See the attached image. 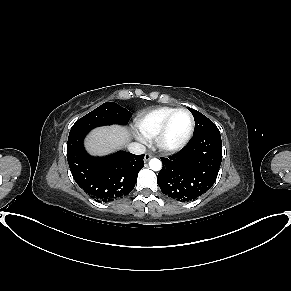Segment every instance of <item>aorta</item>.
I'll list each match as a JSON object with an SVG mask.
<instances>
[{
    "label": "aorta",
    "instance_id": "762f6f07",
    "mask_svg": "<svg viewBox=\"0 0 291 291\" xmlns=\"http://www.w3.org/2000/svg\"><path fill=\"white\" fill-rule=\"evenodd\" d=\"M149 166H150V169H152L153 171H159L162 168V163L159 159L153 158L150 160Z\"/></svg>",
    "mask_w": 291,
    "mask_h": 291
}]
</instances>
